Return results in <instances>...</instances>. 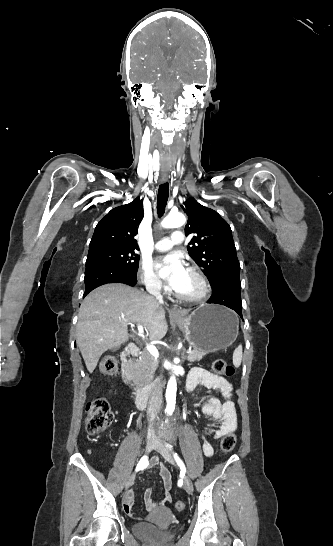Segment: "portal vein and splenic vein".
Masks as SVG:
<instances>
[{"instance_id":"18ae733b","label":"portal vein and splenic vein","mask_w":333,"mask_h":546,"mask_svg":"<svg viewBox=\"0 0 333 546\" xmlns=\"http://www.w3.org/2000/svg\"><path fill=\"white\" fill-rule=\"evenodd\" d=\"M138 331V336L144 338V329L141 325H138ZM146 349L155 359L159 357V352L154 345L146 343ZM187 353H192V350H188Z\"/></svg>"}]
</instances>
